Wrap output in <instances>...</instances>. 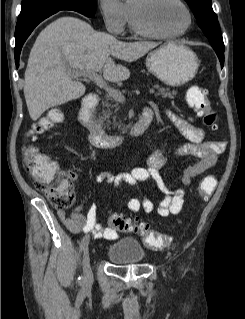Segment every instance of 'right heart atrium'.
Instances as JSON below:
<instances>
[{"label": "right heart atrium", "mask_w": 245, "mask_h": 319, "mask_svg": "<svg viewBox=\"0 0 245 319\" xmlns=\"http://www.w3.org/2000/svg\"><path fill=\"white\" fill-rule=\"evenodd\" d=\"M98 5L107 31L113 35L122 34L127 23L125 4L121 0H98Z\"/></svg>", "instance_id": "right-heart-atrium-1"}]
</instances>
